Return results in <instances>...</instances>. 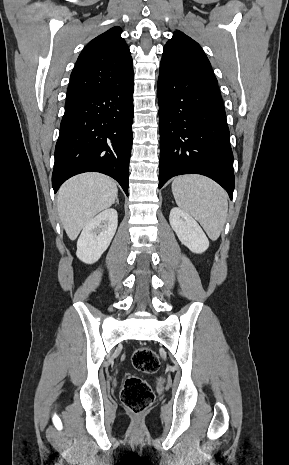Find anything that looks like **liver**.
I'll list each match as a JSON object with an SVG mask.
<instances>
[{
	"instance_id": "liver-1",
	"label": "liver",
	"mask_w": 289,
	"mask_h": 465,
	"mask_svg": "<svg viewBox=\"0 0 289 465\" xmlns=\"http://www.w3.org/2000/svg\"><path fill=\"white\" fill-rule=\"evenodd\" d=\"M118 195L116 183L99 173H84L65 182L58 191V214L71 240L99 212L114 204Z\"/></svg>"
}]
</instances>
